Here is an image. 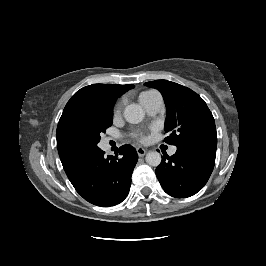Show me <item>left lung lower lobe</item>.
<instances>
[{
	"label": "left lung lower lobe",
	"instance_id": "1",
	"mask_svg": "<svg viewBox=\"0 0 266 266\" xmlns=\"http://www.w3.org/2000/svg\"><path fill=\"white\" fill-rule=\"evenodd\" d=\"M214 145L179 146L171 157L165 155L156 168V176L170 196L186 198L207 183L215 164Z\"/></svg>",
	"mask_w": 266,
	"mask_h": 266
}]
</instances>
